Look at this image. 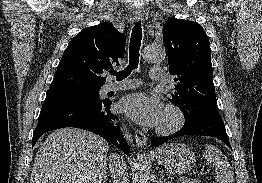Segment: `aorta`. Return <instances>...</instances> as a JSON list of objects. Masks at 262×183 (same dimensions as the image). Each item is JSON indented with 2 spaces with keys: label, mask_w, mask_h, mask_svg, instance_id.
Returning a JSON list of instances; mask_svg holds the SVG:
<instances>
[{
  "label": "aorta",
  "mask_w": 262,
  "mask_h": 183,
  "mask_svg": "<svg viewBox=\"0 0 262 183\" xmlns=\"http://www.w3.org/2000/svg\"><path fill=\"white\" fill-rule=\"evenodd\" d=\"M166 58L165 50L162 47H158L155 45H148L144 48L143 51V59L150 63H160L164 61ZM123 134L126 138V140L130 143H132V137L131 134H129V131L127 130L126 126L123 125L122 127ZM145 166H140L139 170V177H138V183H144L145 182Z\"/></svg>",
  "instance_id": "obj_1"
}]
</instances>
